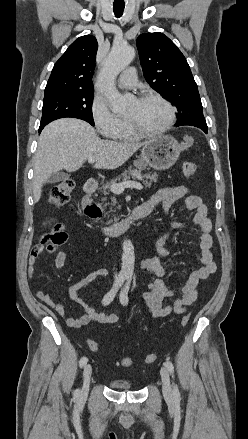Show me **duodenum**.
<instances>
[{
    "label": "duodenum",
    "mask_w": 248,
    "mask_h": 439,
    "mask_svg": "<svg viewBox=\"0 0 248 439\" xmlns=\"http://www.w3.org/2000/svg\"><path fill=\"white\" fill-rule=\"evenodd\" d=\"M98 189V184L93 179H88L84 184L85 197L82 202V207L85 214L90 220H95L100 215V209L97 205L89 201V197L96 192ZM150 213L149 210L143 208L142 206H137L122 220L104 225L100 227L103 234L109 236L119 235L130 228L137 220L145 218Z\"/></svg>",
    "instance_id": "duodenum-1"
}]
</instances>
